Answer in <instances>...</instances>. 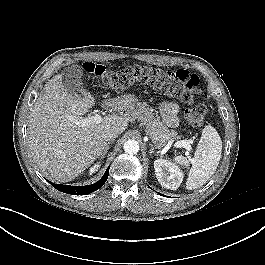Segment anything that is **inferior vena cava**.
<instances>
[{"label": "inferior vena cava", "instance_id": "1", "mask_svg": "<svg viewBox=\"0 0 265 265\" xmlns=\"http://www.w3.org/2000/svg\"><path fill=\"white\" fill-rule=\"evenodd\" d=\"M117 137H118V133L115 132V131H108V132H106V133L103 134V138L105 140H107V141L108 140H113V139H115Z\"/></svg>", "mask_w": 265, "mask_h": 265}]
</instances>
